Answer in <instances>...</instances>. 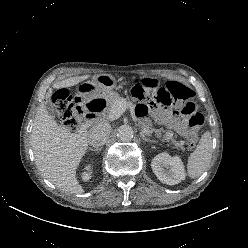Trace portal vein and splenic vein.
Returning <instances> with one entry per match:
<instances>
[{
	"label": "portal vein and splenic vein",
	"instance_id": "1",
	"mask_svg": "<svg viewBox=\"0 0 248 248\" xmlns=\"http://www.w3.org/2000/svg\"><path fill=\"white\" fill-rule=\"evenodd\" d=\"M127 107L128 104L126 103V101L116 102L109 111L108 119L115 120L119 118L125 112ZM89 125V123L82 124L79 129V132L84 131ZM142 132L148 134V132L144 129L142 130Z\"/></svg>",
	"mask_w": 248,
	"mask_h": 248
}]
</instances>
